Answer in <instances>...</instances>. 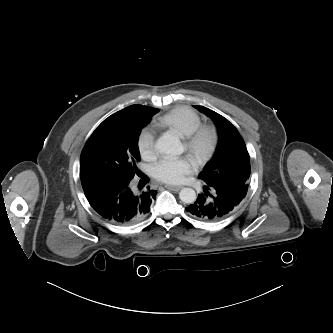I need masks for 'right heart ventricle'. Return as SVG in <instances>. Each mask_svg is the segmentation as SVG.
Masks as SVG:
<instances>
[{
    "instance_id": "obj_1",
    "label": "right heart ventricle",
    "mask_w": 333,
    "mask_h": 333,
    "mask_svg": "<svg viewBox=\"0 0 333 333\" xmlns=\"http://www.w3.org/2000/svg\"><path fill=\"white\" fill-rule=\"evenodd\" d=\"M202 123L201 117L187 107H177L161 116L156 126L176 132L182 138L194 132Z\"/></svg>"
}]
</instances>
